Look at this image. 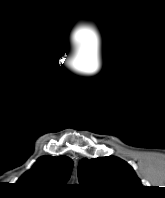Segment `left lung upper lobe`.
Instances as JSON below:
<instances>
[{
    "mask_svg": "<svg viewBox=\"0 0 165 198\" xmlns=\"http://www.w3.org/2000/svg\"><path fill=\"white\" fill-rule=\"evenodd\" d=\"M78 177L81 185L106 198H134L143 186L133 168L115 156L80 160Z\"/></svg>",
    "mask_w": 165,
    "mask_h": 198,
    "instance_id": "left-lung-upper-lobe-1",
    "label": "left lung upper lobe"
}]
</instances>
